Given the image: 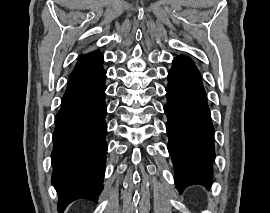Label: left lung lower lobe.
I'll return each instance as SVG.
<instances>
[{"instance_id":"1","label":"left lung lower lobe","mask_w":270,"mask_h":213,"mask_svg":"<svg viewBox=\"0 0 270 213\" xmlns=\"http://www.w3.org/2000/svg\"><path fill=\"white\" fill-rule=\"evenodd\" d=\"M168 80L164 111L176 187L179 192L194 184L210 187L214 127L200 74L194 64L173 65Z\"/></svg>"}]
</instances>
